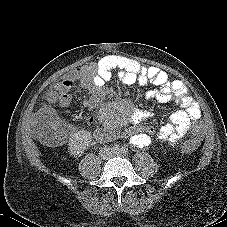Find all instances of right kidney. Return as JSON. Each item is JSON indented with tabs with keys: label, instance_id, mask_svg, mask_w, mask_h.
Segmentation results:
<instances>
[{
	"label": "right kidney",
	"instance_id": "right-kidney-1",
	"mask_svg": "<svg viewBox=\"0 0 227 227\" xmlns=\"http://www.w3.org/2000/svg\"><path fill=\"white\" fill-rule=\"evenodd\" d=\"M92 141L91 132L86 130L76 131L71 134L68 142L70 155L77 157L89 147Z\"/></svg>",
	"mask_w": 227,
	"mask_h": 227
}]
</instances>
